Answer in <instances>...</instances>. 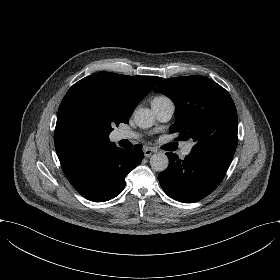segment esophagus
Segmentation results:
<instances>
[{"instance_id": "1", "label": "esophagus", "mask_w": 280, "mask_h": 280, "mask_svg": "<svg viewBox=\"0 0 280 280\" xmlns=\"http://www.w3.org/2000/svg\"><path fill=\"white\" fill-rule=\"evenodd\" d=\"M153 153H155V149H153L151 147H147L144 149V155L147 158H149Z\"/></svg>"}]
</instances>
